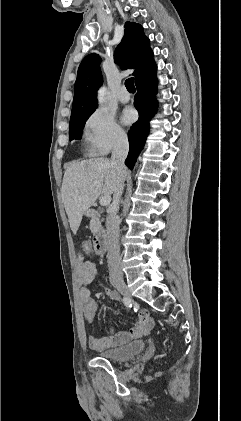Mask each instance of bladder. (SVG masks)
I'll return each mask as SVG.
<instances>
[{
	"label": "bladder",
	"instance_id": "bladder-1",
	"mask_svg": "<svg viewBox=\"0 0 241 421\" xmlns=\"http://www.w3.org/2000/svg\"><path fill=\"white\" fill-rule=\"evenodd\" d=\"M144 349L145 343L143 341H134L120 347L105 350L99 356L111 362H125L141 354Z\"/></svg>",
	"mask_w": 241,
	"mask_h": 421
}]
</instances>
